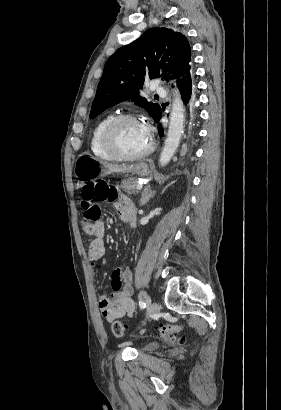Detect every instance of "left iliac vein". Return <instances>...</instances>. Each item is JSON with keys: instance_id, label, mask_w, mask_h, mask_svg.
<instances>
[{"instance_id": "4c4485c4", "label": "left iliac vein", "mask_w": 281, "mask_h": 410, "mask_svg": "<svg viewBox=\"0 0 281 410\" xmlns=\"http://www.w3.org/2000/svg\"><path fill=\"white\" fill-rule=\"evenodd\" d=\"M160 306L156 302H151L149 297L147 296V319H149L151 316L157 314L159 312Z\"/></svg>"}]
</instances>
